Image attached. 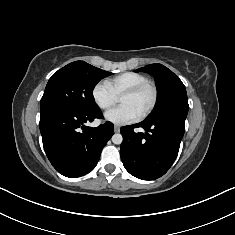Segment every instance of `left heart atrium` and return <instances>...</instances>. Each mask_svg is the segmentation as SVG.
I'll return each instance as SVG.
<instances>
[{
    "label": "left heart atrium",
    "mask_w": 235,
    "mask_h": 235,
    "mask_svg": "<svg viewBox=\"0 0 235 235\" xmlns=\"http://www.w3.org/2000/svg\"><path fill=\"white\" fill-rule=\"evenodd\" d=\"M139 117L140 114L129 105H120L105 114L107 121L118 125L135 122Z\"/></svg>",
    "instance_id": "1"
}]
</instances>
